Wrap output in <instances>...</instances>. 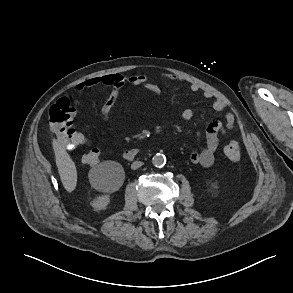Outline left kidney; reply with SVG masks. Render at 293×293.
Masks as SVG:
<instances>
[{"label": "left kidney", "mask_w": 293, "mask_h": 293, "mask_svg": "<svg viewBox=\"0 0 293 293\" xmlns=\"http://www.w3.org/2000/svg\"><path fill=\"white\" fill-rule=\"evenodd\" d=\"M215 188H217V186L216 185H212V189H215Z\"/></svg>", "instance_id": "1"}]
</instances>
